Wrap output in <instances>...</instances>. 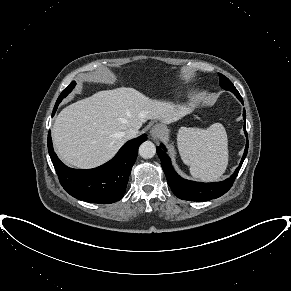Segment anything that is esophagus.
Here are the masks:
<instances>
[{
	"instance_id": "obj_1",
	"label": "esophagus",
	"mask_w": 291,
	"mask_h": 291,
	"mask_svg": "<svg viewBox=\"0 0 291 291\" xmlns=\"http://www.w3.org/2000/svg\"><path fill=\"white\" fill-rule=\"evenodd\" d=\"M164 133V128L160 124H155L152 126L150 130V136L153 140H158Z\"/></svg>"
}]
</instances>
